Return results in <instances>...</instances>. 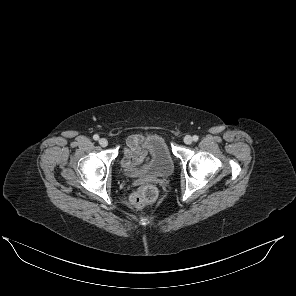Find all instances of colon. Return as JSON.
I'll list each match as a JSON object with an SVG mask.
<instances>
[{"instance_id":"colon-1","label":"colon","mask_w":296,"mask_h":296,"mask_svg":"<svg viewBox=\"0 0 296 296\" xmlns=\"http://www.w3.org/2000/svg\"><path fill=\"white\" fill-rule=\"evenodd\" d=\"M157 194L158 191L154 185H144L130 196V203L137 208L145 207L156 200Z\"/></svg>"}]
</instances>
